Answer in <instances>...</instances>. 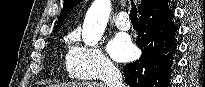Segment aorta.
Masks as SVG:
<instances>
[{
	"instance_id": "762f6f07",
	"label": "aorta",
	"mask_w": 205,
	"mask_h": 87,
	"mask_svg": "<svg viewBox=\"0 0 205 87\" xmlns=\"http://www.w3.org/2000/svg\"><path fill=\"white\" fill-rule=\"evenodd\" d=\"M110 12V0H94L83 23L82 40L86 46H95L101 40Z\"/></svg>"
}]
</instances>
